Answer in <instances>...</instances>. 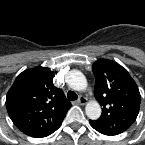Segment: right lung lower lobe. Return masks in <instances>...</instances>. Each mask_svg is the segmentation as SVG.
<instances>
[{"label": "right lung lower lobe", "instance_id": "right-lung-lower-lobe-1", "mask_svg": "<svg viewBox=\"0 0 145 145\" xmlns=\"http://www.w3.org/2000/svg\"><path fill=\"white\" fill-rule=\"evenodd\" d=\"M59 128V127H58ZM57 128V129H58ZM57 129H55V130H53V131H51L50 133H48V134H45V135H43V136H41V137H46V136H48V135H50V134H52L54 131H56Z\"/></svg>", "mask_w": 145, "mask_h": 145}]
</instances>
